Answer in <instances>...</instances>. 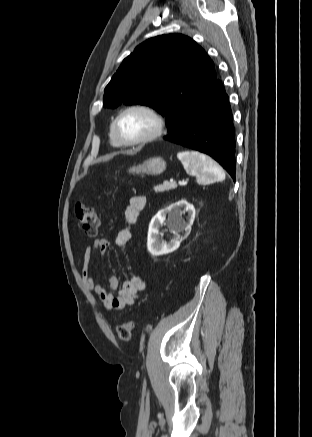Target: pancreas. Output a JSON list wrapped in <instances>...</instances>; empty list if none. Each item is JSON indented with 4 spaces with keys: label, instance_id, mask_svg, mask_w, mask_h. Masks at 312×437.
I'll return each instance as SVG.
<instances>
[{
    "label": "pancreas",
    "instance_id": "cf45deb5",
    "mask_svg": "<svg viewBox=\"0 0 312 437\" xmlns=\"http://www.w3.org/2000/svg\"><path fill=\"white\" fill-rule=\"evenodd\" d=\"M177 188V184L175 182H164L162 185L154 186V190L157 193L165 192L169 190H173Z\"/></svg>",
    "mask_w": 312,
    "mask_h": 437
}]
</instances>
